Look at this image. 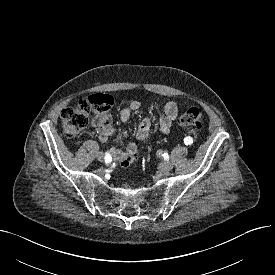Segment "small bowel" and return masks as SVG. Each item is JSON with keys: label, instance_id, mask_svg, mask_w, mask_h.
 I'll return each mask as SVG.
<instances>
[{"label": "small bowel", "instance_id": "1", "mask_svg": "<svg viewBox=\"0 0 275 275\" xmlns=\"http://www.w3.org/2000/svg\"><path fill=\"white\" fill-rule=\"evenodd\" d=\"M140 108L139 101H132L129 105L124 107L120 112V120L123 123H126L133 112L137 111ZM179 113V107L175 102H168L164 107V113L158 119V126L162 133H169L175 119L177 118ZM99 130V140L102 143H105L110 136H112L116 129L113 127L110 118L106 119L102 122H96ZM151 128V119L145 117L139 124L137 130V140L140 142H145L148 139L149 132ZM138 151L137 143L131 142L127 145L124 151H119L115 148H111V154L120 160L123 164L125 162H129L136 157Z\"/></svg>", "mask_w": 275, "mask_h": 275}]
</instances>
